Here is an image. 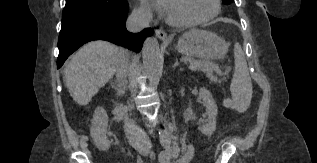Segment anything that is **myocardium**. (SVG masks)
Instances as JSON below:
<instances>
[{"label":"myocardium","instance_id":"1","mask_svg":"<svg viewBox=\"0 0 317 163\" xmlns=\"http://www.w3.org/2000/svg\"><path fill=\"white\" fill-rule=\"evenodd\" d=\"M220 10H221L220 0H213V10L206 17L199 18V19H196V20H193V21H188V22H180V21L173 20L164 11V19H165V22L167 24H169L170 26H172V27H176V28H191V27H195V26L202 25V24H205V23H208V22L212 21L213 19H215L219 15Z\"/></svg>","mask_w":317,"mask_h":163}]
</instances>
